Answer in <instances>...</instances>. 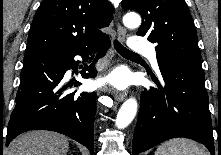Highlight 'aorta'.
<instances>
[{
	"label": "aorta",
	"mask_w": 221,
	"mask_h": 155,
	"mask_svg": "<svg viewBox=\"0 0 221 155\" xmlns=\"http://www.w3.org/2000/svg\"><path fill=\"white\" fill-rule=\"evenodd\" d=\"M123 23L127 28H137L141 24V17L134 12L127 13L123 18ZM137 112V101L135 98L127 99L119 109L115 123L116 127L123 129L134 119Z\"/></svg>",
	"instance_id": "1"
}]
</instances>
